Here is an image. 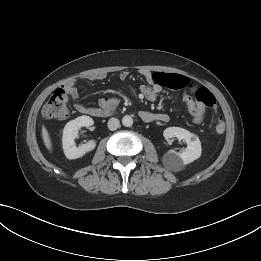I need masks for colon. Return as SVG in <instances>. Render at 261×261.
I'll return each mask as SVG.
<instances>
[{
	"label": "colon",
	"mask_w": 261,
	"mask_h": 261,
	"mask_svg": "<svg viewBox=\"0 0 261 261\" xmlns=\"http://www.w3.org/2000/svg\"><path fill=\"white\" fill-rule=\"evenodd\" d=\"M196 102L201 108L216 106L214 95L206 88H200L196 91ZM42 114L47 119L65 120L69 117L68 96L64 89H57L42 109ZM215 130L222 133L225 130V123L221 116H217L215 121Z\"/></svg>",
	"instance_id": "obj_1"
}]
</instances>
